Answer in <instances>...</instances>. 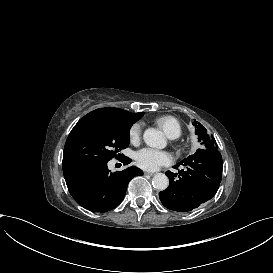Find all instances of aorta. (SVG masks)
<instances>
[{
	"label": "aorta",
	"mask_w": 273,
	"mask_h": 273,
	"mask_svg": "<svg viewBox=\"0 0 273 273\" xmlns=\"http://www.w3.org/2000/svg\"><path fill=\"white\" fill-rule=\"evenodd\" d=\"M144 142L153 148H164L166 145V140L161 131L148 128L143 134ZM152 185L155 189L163 191L167 189L169 185L168 177L163 173H157L152 179Z\"/></svg>",
	"instance_id": "aorta-1"
}]
</instances>
